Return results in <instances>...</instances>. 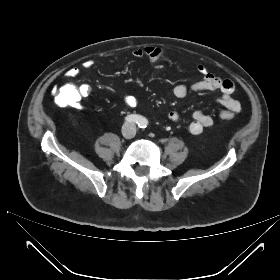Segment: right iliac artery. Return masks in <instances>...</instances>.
Instances as JSON below:
<instances>
[{
	"label": "right iliac artery",
	"mask_w": 280,
	"mask_h": 280,
	"mask_svg": "<svg viewBox=\"0 0 280 280\" xmlns=\"http://www.w3.org/2000/svg\"><path fill=\"white\" fill-rule=\"evenodd\" d=\"M141 119V116L136 114H131L125 117V121L129 123H139Z\"/></svg>",
	"instance_id": "1"
}]
</instances>
